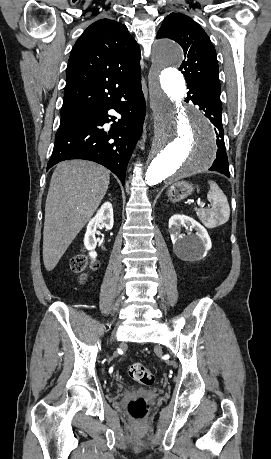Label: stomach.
I'll return each instance as SVG.
<instances>
[{
  "label": "stomach",
  "instance_id": "stomach-1",
  "mask_svg": "<svg viewBox=\"0 0 271 459\" xmlns=\"http://www.w3.org/2000/svg\"><path fill=\"white\" fill-rule=\"evenodd\" d=\"M193 190L192 184H188V182H175V184H172V186L168 188L167 196L171 202H180V200H184L186 196H190Z\"/></svg>",
  "mask_w": 271,
  "mask_h": 459
}]
</instances>
